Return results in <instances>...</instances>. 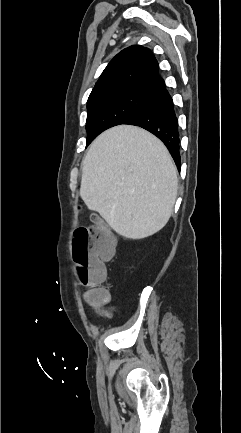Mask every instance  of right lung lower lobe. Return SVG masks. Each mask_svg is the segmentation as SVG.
I'll return each mask as SVG.
<instances>
[{
	"label": "right lung lower lobe",
	"mask_w": 241,
	"mask_h": 433,
	"mask_svg": "<svg viewBox=\"0 0 241 433\" xmlns=\"http://www.w3.org/2000/svg\"><path fill=\"white\" fill-rule=\"evenodd\" d=\"M123 124L140 126L157 136L166 145L180 170L178 120L165 84L154 91L143 108Z\"/></svg>",
	"instance_id": "obj_1"
}]
</instances>
